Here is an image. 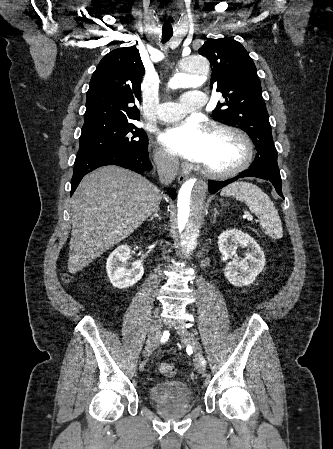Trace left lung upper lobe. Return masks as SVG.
Listing matches in <instances>:
<instances>
[{"label": "left lung upper lobe", "instance_id": "obj_1", "mask_svg": "<svg viewBox=\"0 0 333 449\" xmlns=\"http://www.w3.org/2000/svg\"><path fill=\"white\" fill-rule=\"evenodd\" d=\"M211 63V88L221 92L212 115L242 129L253 140L257 154L250 167L279 171L269 115L255 64L233 39H208L198 50Z\"/></svg>", "mask_w": 333, "mask_h": 449}]
</instances>
